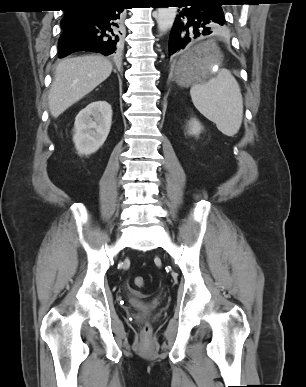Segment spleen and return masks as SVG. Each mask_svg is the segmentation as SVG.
Segmentation results:
<instances>
[{"instance_id": "spleen-1", "label": "spleen", "mask_w": 306, "mask_h": 387, "mask_svg": "<svg viewBox=\"0 0 306 387\" xmlns=\"http://www.w3.org/2000/svg\"><path fill=\"white\" fill-rule=\"evenodd\" d=\"M197 110L227 136L235 135L242 124L243 98L238 82L229 70L220 69L207 82L190 89Z\"/></svg>"}]
</instances>
